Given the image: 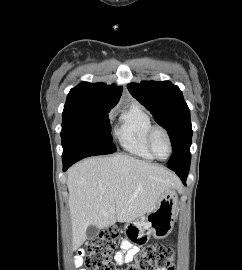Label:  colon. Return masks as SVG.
I'll return each mask as SVG.
<instances>
[{
    "label": "colon",
    "instance_id": "colon-1",
    "mask_svg": "<svg viewBox=\"0 0 242 270\" xmlns=\"http://www.w3.org/2000/svg\"><path fill=\"white\" fill-rule=\"evenodd\" d=\"M120 232L117 227L106 228L88 247L84 265L87 270H120L112 256L118 246ZM168 267L174 270V253L170 247L151 244L135 255L124 270H156Z\"/></svg>",
    "mask_w": 242,
    "mask_h": 270
}]
</instances>
